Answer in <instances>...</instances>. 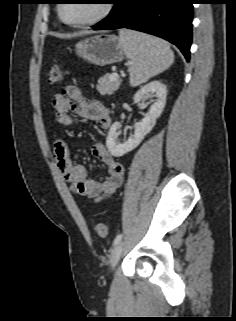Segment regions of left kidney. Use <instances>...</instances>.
<instances>
[{
    "mask_svg": "<svg viewBox=\"0 0 236 321\" xmlns=\"http://www.w3.org/2000/svg\"><path fill=\"white\" fill-rule=\"evenodd\" d=\"M155 94L154 103L151 105L149 111L144 115V118L134 125V134L128 138L127 141L123 143H117V131L121 128V124L119 122L113 123L111 126L106 145L111 153V155L115 157L123 156L124 154L135 149L144 137L153 129L156 123V119L161 115L165 104H166V96L167 89L166 86L160 81H152L142 87L135 95L134 102L138 104V106H142L141 101L145 96H153Z\"/></svg>",
    "mask_w": 236,
    "mask_h": 321,
    "instance_id": "5707ae66",
    "label": "left kidney"
}]
</instances>
